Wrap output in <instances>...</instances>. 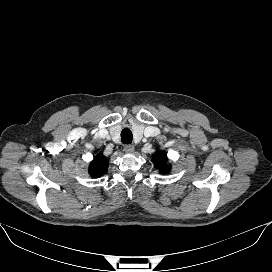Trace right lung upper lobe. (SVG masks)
Here are the masks:
<instances>
[{"label": "right lung upper lobe", "instance_id": "1", "mask_svg": "<svg viewBox=\"0 0 272 272\" xmlns=\"http://www.w3.org/2000/svg\"><path fill=\"white\" fill-rule=\"evenodd\" d=\"M108 168V161L106 158H104L101 155H98L94 158V160L91 162V165L89 167V173L93 177H99L107 172Z\"/></svg>", "mask_w": 272, "mask_h": 272}]
</instances>
